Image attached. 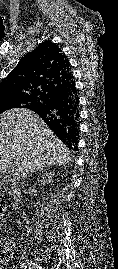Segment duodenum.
<instances>
[{"label": "duodenum", "mask_w": 118, "mask_h": 269, "mask_svg": "<svg viewBox=\"0 0 118 269\" xmlns=\"http://www.w3.org/2000/svg\"><path fill=\"white\" fill-rule=\"evenodd\" d=\"M2 184V178H1V176H0V185ZM1 213V212H0Z\"/></svg>", "instance_id": "1"}]
</instances>
